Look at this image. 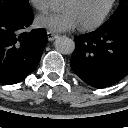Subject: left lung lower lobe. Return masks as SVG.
<instances>
[{
	"label": "left lung lower lobe",
	"mask_w": 128,
	"mask_h": 128,
	"mask_svg": "<svg viewBox=\"0 0 128 128\" xmlns=\"http://www.w3.org/2000/svg\"><path fill=\"white\" fill-rule=\"evenodd\" d=\"M85 83L104 88L128 75V19L105 25L75 38L70 60Z\"/></svg>",
	"instance_id": "obj_1"
}]
</instances>
